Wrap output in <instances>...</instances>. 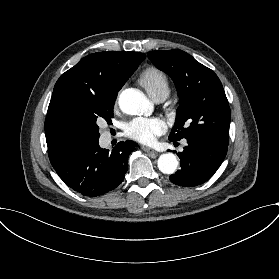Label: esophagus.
Returning a JSON list of instances; mask_svg holds the SVG:
<instances>
[{"mask_svg": "<svg viewBox=\"0 0 279 279\" xmlns=\"http://www.w3.org/2000/svg\"><path fill=\"white\" fill-rule=\"evenodd\" d=\"M142 149L149 155H151L153 158H155L157 156V153L155 152V150H153L152 148L148 147V146H142Z\"/></svg>", "mask_w": 279, "mask_h": 279, "instance_id": "obj_1", "label": "esophagus"}]
</instances>
